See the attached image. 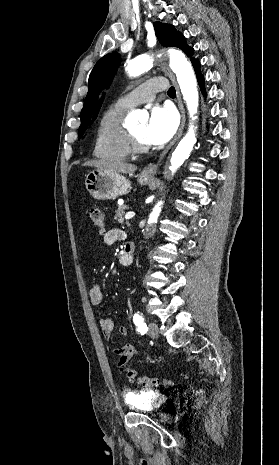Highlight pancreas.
Listing matches in <instances>:
<instances>
[{"mask_svg":"<svg viewBox=\"0 0 279 465\" xmlns=\"http://www.w3.org/2000/svg\"><path fill=\"white\" fill-rule=\"evenodd\" d=\"M127 209L128 207L126 205H119L118 209L115 211V220H118V222L122 224L124 222L123 216Z\"/></svg>","mask_w":279,"mask_h":465,"instance_id":"pancreas-1","label":"pancreas"}]
</instances>
